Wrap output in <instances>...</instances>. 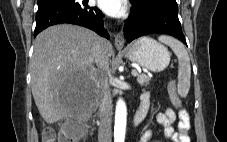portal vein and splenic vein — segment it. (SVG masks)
Listing matches in <instances>:
<instances>
[{"label": "portal vein and splenic vein", "instance_id": "18ae733b", "mask_svg": "<svg viewBox=\"0 0 227 142\" xmlns=\"http://www.w3.org/2000/svg\"><path fill=\"white\" fill-rule=\"evenodd\" d=\"M132 75H133L134 77H136V76L138 75V72H137L136 70H133V71H132Z\"/></svg>", "mask_w": 227, "mask_h": 142}]
</instances>
